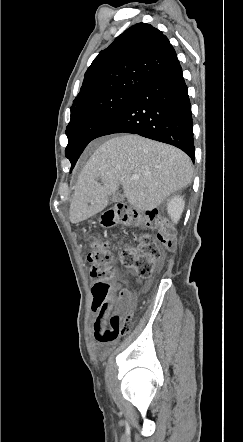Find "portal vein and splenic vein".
Listing matches in <instances>:
<instances>
[{
  "label": "portal vein and splenic vein",
  "mask_w": 243,
  "mask_h": 442,
  "mask_svg": "<svg viewBox=\"0 0 243 442\" xmlns=\"http://www.w3.org/2000/svg\"><path fill=\"white\" fill-rule=\"evenodd\" d=\"M131 178H132L133 180H136V179L139 178V176H138L137 174H133Z\"/></svg>",
  "instance_id": "1"
}]
</instances>
